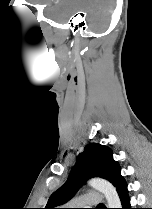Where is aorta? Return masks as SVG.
<instances>
[{
  "mask_svg": "<svg viewBox=\"0 0 152 209\" xmlns=\"http://www.w3.org/2000/svg\"><path fill=\"white\" fill-rule=\"evenodd\" d=\"M88 184L104 194L109 208H120L121 202L115 187L108 181L101 178H94L89 180Z\"/></svg>",
  "mask_w": 152,
  "mask_h": 209,
  "instance_id": "obj_1",
  "label": "aorta"
}]
</instances>
